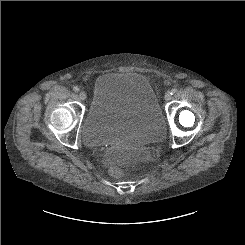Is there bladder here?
Returning a JSON list of instances; mask_svg holds the SVG:
<instances>
[{"mask_svg": "<svg viewBox=\"0 0 245 245\" xmlns=\"http://www.w3.org/2000/svg\"><path fill=\"white\" fill-rule=\"evenodd\" d=\"M165 118L149 80L136 72H107L95 80L82 126L89 146L142 144L162 136Z\"/></svg>", "mask_w": 245, "mask_h": 245, "instance_id": "bladder-1", "label": "bladder"}]
</instances>
